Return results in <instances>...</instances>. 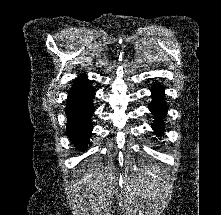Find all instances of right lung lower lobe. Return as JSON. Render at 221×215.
<instances>
[{"mask_svg": "<svg viewBox=\"0 0 221 215\" xmlns=\"http://www.w3.org/2000/svg\"><path fill=\"white\" fill-rule=\"evenodd\" d=\"M95 92L89 80L83 75L78 77L69 92L66 115L67 134L76 148L83 150L92 132L91 116L94 108L92 101Z\"/></svg>", "mask_w": 221, "mask_h": 215, "instance_id": "98d812e1", "label": "right lung lower lobe"}]
</instances>
